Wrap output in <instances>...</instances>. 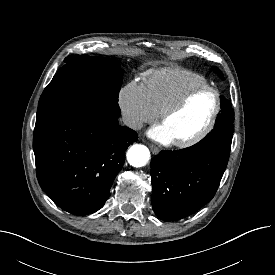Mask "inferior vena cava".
Wrapping results in <instances>:
<instances>
[{
    "instance_id": "1",
    "label": "inferior vena cava",
    "mask_w": 275,
    "mask_h": 275,
    "mask_svg": "<svg viewBox=\"0 0 275 275\" xmlns=\"http://www.w3.org/2000/svg\"><path fill=\"white\" fill-rule=\"evenodd\" d=\"M123 123L135 130L141 129L143 127V123L135 116L124 114L122 116Z\"/></svg>"
}]
</instances>
